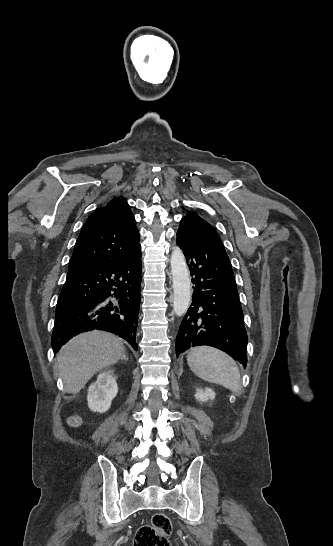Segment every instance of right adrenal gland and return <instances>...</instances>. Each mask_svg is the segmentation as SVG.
<instances>
[{
  "mask_svg": "<svg viewBox=\"0 0 333 546\" xmlns=\"http://www.w3.org/2000/svg\"><path fill=\"white\" fill-rule=\"evenodd\" d=\"M122 359L128 361V358L125 355Z\"/></svg>",
  "mask_w": 333,
  "mask_h": 546,
  "instance_id": "2a0ac1e0",
  "label": "right adrenal gland"
}]
</instances>
